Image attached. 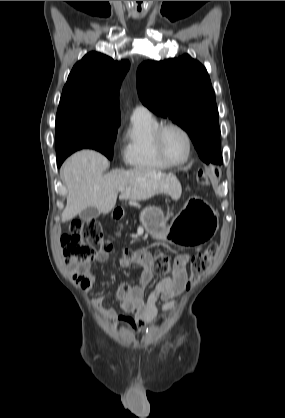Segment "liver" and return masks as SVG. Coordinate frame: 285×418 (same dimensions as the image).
I'll use <instances>...</instances> for the list:
<instances>
[{
    "label": "liver",
    "mask_w": 285,
    "mask_h": 418,
    "mask_svg": "<svg viewBox=\"0 0 285 418\" xmlns=\"http://www.w3.org/2000/svg\"><path fill=\"white\" fill-rule=\"evenodd\" d=\"M108 159L92 150H82L69 157L61 168L67 187V204L62 221L72 220L88 207L108 214L116 205L118 189L124 187L121 200L143 201L156 194L166 193L177 200L181 184L173 174L144 168L113 170L105 175Z\"/></svg>",
    "instance_id": "1"
}]
</instances>
